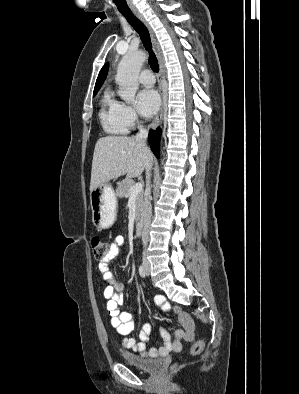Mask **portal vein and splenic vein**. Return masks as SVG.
<instances>
[{"instance_id":"18ae733b","label":"portal vein and splenic vein","mask_w":299,"mask_h":394,"mask_svg":"<svg viewBox=\"0 0 299 394\" xmlns=\"http://www.w3.org/2000/svg\"><path fill=\"white\" fill-rule=\"evenodd\" d=\"M142 190H143V184L141 182H138L130 189V196L135 197L140 192H142Z\"/></svg>"}]
</instances>
